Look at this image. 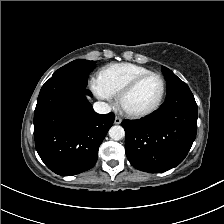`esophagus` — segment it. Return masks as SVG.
Instances as JSON below:
<instances>
[{"instance_id": "34e87169", "label": "esophagus", "mask_w": 224, "mask_h": 224, "mask_svg": "<svg viewBox=\"0 0 224 224\" xmlns=\"http://www.w3.org/2000/svg\"><path fill=\"white\" fill-rule=\"evenodd\" d=\"M122 122V119L118 116L115 117L114 123L115 124H120Z\"/></svg>"}]
</instances>
